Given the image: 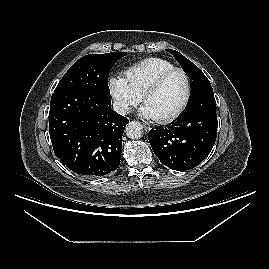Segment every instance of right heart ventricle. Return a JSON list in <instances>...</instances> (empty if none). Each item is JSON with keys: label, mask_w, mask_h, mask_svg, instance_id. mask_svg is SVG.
<instances>
[{"label": "right heart ventricle", "mask_w": 269, "mask_h": 269, "mask_svg": "<svg viewBox=\"0 0 269 269\" xmlns=\"http://www.w3.org/2000/svg\"><path fill=\"white\" fill-rule=\"evenodd\" d=\"M175 67L173 63L162 58H147L125 71V79L131 89L141 96L144 89L161 73Z\"/></svg>", "instance_id": "1"}]
</instances>
